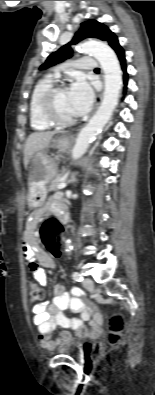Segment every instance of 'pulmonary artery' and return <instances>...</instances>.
<instances>
[{
    "instance_id": "obj_1",
    "label": "pulmonary artery",
    "mask_w": 155,
    "mask_h": 395,
    "mask_svg": "<svg viewBox=\"0 0 155 395\" xmlns=\"http://www.w3.org/2000/svg\"><path fill=\"white\" fill-rule=\"evenodd\" d=\"M71 65L74 66L75 68H78V69L94 70L96 67V61L92 57L84 56V57H81L79 59L72 61ZM53 77H55V78L59 77L58 70H55Z\"/></svg>"
}]
</instances>
